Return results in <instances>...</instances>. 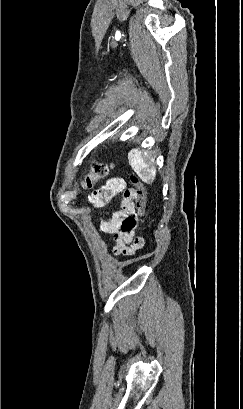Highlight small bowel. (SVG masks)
Segmentation results:
<instances>
[{"mask_svg": "<svg viewBox=\"0 0 243 409\" xmlns=\"http://www.w3.org/2000/svg\"><path fill=\"white\" fill-rule=\"evenodd\" d=\"M123 194L119 201L120 209L107 221L100 222V229L113 236L115 255L132 256L145 245V239L141 236L134 237L137 227L135 210V192L125 189L124 182L120 179H110L102 188L91 195V200L96 206H103L118 193Z\"/></svg>", "mask_w": 243, "mask_h": 409, "instance_id": "c3829d8e", "label": "small bowel"}]
</instances>
